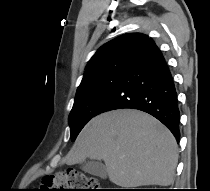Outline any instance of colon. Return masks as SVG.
Returning a JSON list of instances; mask_svg holds the SVG:
<instances>
[{"mask_svg":"<svg viewBox=\"0 0 210 191\" xmlns=\"http://www.w3.org/2000/svg\"><path fill=\"white\" fill-rule=\"evenodd\" d=\"M42 182L57 187L58 189H52L54 191H103L97 179L75 170L46 177Z\"/></svg>","mask_w":210,"mask_h":191,"instance_id":"obj_1","label":"colon"}]
</instances>
